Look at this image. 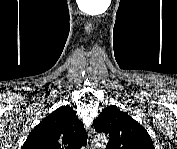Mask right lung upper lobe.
Here are the masks:
<instances>
[{"mask_svg":"<svg viewBox=\"0 0 177 149\" xmlns=\"http://www.w3.org/2000/svg\"><path fill=\"white\" fill-rule=\"evenodd\" d=\"M87 144L83 123L69 106L44 118L28 135L25 149H79Z\"/></svg>","mask_w":177,"mask_h":149,"instance_id":"obj_1","label":"right lung upper lobe"}]
</instances>
